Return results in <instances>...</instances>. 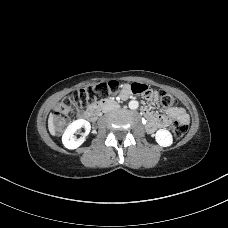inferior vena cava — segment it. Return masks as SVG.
<instances>
[{
	"label": "inferior vena cava",
	"instance_id": "602c4592",
	"mask_svg": "<svg viewBox=\"0 0 228 228\" xmlns=\"http://www.w3.org/2000/svg\"><path fill=\"white\" fill-rule=\"evenodd\" d=\"M116 107H117V105L105 106V107L103 108V112H104V113L109 112V111L113 110V109L116 108Z\"/></svg>",
	"mask_w": 228,
	"mask_h": 228
}]
</instances>
